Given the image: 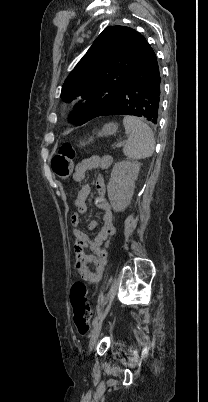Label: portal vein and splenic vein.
Here are the masks:
<instances>
[{
  "label": "portal vein and splenic vein",
  "mask_w": 208,
  "mask_h": 402,
  "mask_svg": "<svg viewBox=\"0 0 208 402\" xmlns=\"http://www.w3.org/2000/svg\"><path fill=\"white\" fill-rule=\"evenodd\" d=\"M122 144H123V142H120V144H116V145H114V148L119 149V148H120V146H122Z\"/></svg>",
  "instance_id": "obj_1"
}]
</instances>
